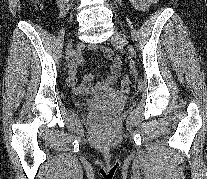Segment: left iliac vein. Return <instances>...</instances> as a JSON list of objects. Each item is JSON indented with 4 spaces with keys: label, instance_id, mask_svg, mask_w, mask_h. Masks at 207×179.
<instances>
[{
    "label": "left iliac vein",
    "instance_id": "obj_1",
    "mask_svg": "<svg viewBox=\"0 0 207 179\" xmlns=\"http://www.w3.org/2000/svg\"><path fill=\"white\" fill-rule=\"evenodd\" d=\"M111 42L114 44H120L122 46L128 45V42L126 40V37L118 31H115L111 37Z\"/></svg>",
    "mask_w": 207,
    "mask_h": 179
}]
</instances>
